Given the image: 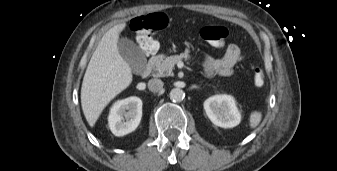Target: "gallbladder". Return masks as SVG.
<instances>
[{"instance_id":"1","label":"gallbladder","mask_w":337,"mask_h":171,"mask_svg":"<svg viewBox=\"0 0 337 171\" xmlns=\"http://www.w3.org/2000/svg\"><path fill=\"white\" fill-rule=\"evenodd\" d=\"M119 53L135 74L145 70L146 59L141 49L131 40L123 38L118 42Z\"/></svg>"}]
</instances>
